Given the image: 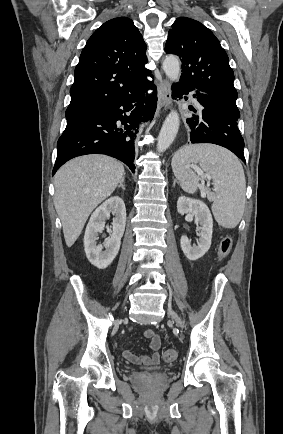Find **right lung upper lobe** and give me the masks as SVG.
I'll use <instances>...</instances> for the list:
<instances>
[{
    "label": "right lung upper lobe",
    "instance_id": "1",
    "mask_svg": "<svg viewBox=\"0 0 283 434\" xmlns=\"http://www.w3.org/2000/svg\"><path fill=\"white\" fill-rule=\"evenodd\" d=\"M146 44L131 19L105 22L89 38L80 55L66 110L70 119L98 109L135 90L150 73Z\"/></svg>",
    "mask_w": 283,
    "mask_h": 434
}]
</instances>
